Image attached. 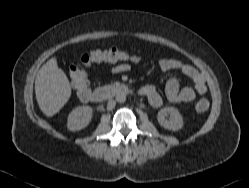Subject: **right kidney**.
<instances>
[{
    "instance_id": "1",
    "label": "right kidney",
    "mask_w": 249,
    "mask_h": 188,
    "mask_svg": "<svg viewBox=\"0 0 249 188\" xmlns=\"http://www.w3.org/2000/svg\"><path fill=\"white\" fill-rule=\"evenodd\" d=\"M93 115V109L90 106H79L74 108L67 119V128L70 131H79L86 128Z\"/></svg>"
}]
</instances>
